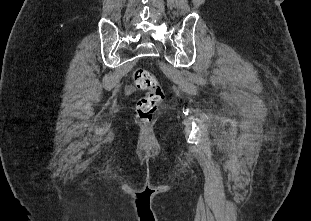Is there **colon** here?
Returning a JSON list of instances; mask_svg holds the SVG:
<instances>
[{"mask_svg": "<svg viewBox=\"0 0 311 221\" xmlns=\"http://www.w3.org/2000/svg\"><path fill=\"white\" fill-rule=\"evenodd\" d=\"M134 85L147 90V95L140 98L136 106V117L139 123L151 122L158 106L164 99V91L153 74L144 68H136L133 73Z\"/></svg>", "mask_w": 311, "mask_h": 221, "instance_id": "5ec220e1", "label": "colon"}]
</instances>
